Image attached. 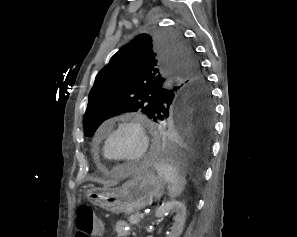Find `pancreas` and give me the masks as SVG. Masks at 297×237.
I'll list each match as a JSON object with an SVG mask.
<instances>
[{"instance_id": "obj_1", "label": "pancreas", "mask_w": 297, "mask_h": 237, "mask_svg": "<svg viewBox=\"0 0 297 237\" xmlns=\"http://www.w3.org/2000/svg\"><path fill=\"white\" fill-rule=\"evenodd\" d=\"M140 215L141 214H139V212H136L135 214H132L128 218V221L130 222V224L138 225L141 222V220L143 219V217H141Z\"/></svg>"}]
</instances>
